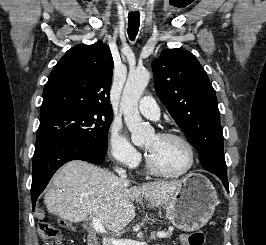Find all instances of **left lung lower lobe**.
I'll use <instances>...</instances> for the list:
<instances>
[{"mask_svg": "<svg viewBox=\"0 0 266 245\" xmlns=\"http://www.w3.org/2000/svg\"><path fill=\"white\" fill-rule=\"evenodd\" d=\"M221 181L223 182L224 187L226 188L227 192H229L228 180L227 175H217Z\"/></svg>", "mask_w": 266, "mask_h": 245, "instance_id": "left-lung-lower-lobe-1", "label": "left lung lower lobe"}]
</instances>
